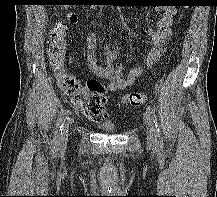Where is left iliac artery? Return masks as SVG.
Returning <instances> with one entry per match:
<instances>
[{"mask_svg": "<svg viewBox=\"0 0 217 197\" xmlns=\"http://www.w3.org/2000/svg\"><path fill=\"white\" fill-rule=\"evenodd\" d=\"M146 111L156 126V142L158 145H162L163 140H162L161 131L159 128V123H158V118H157V115L155 113V110L151 106H148Z\"/></svg>", "mask_w": 217, "mask_h": 197, "instance_id": "obj_1", "label": "left iliac artery"}]
</instances>
